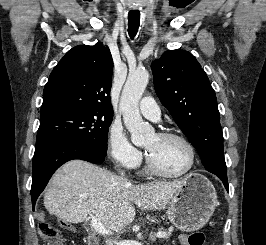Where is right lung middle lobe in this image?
Returning <instances> with one entry per match:
<instances>
[{
  "label": "right lung middle lobe",
  "instance_id": "1",
  "mask_svg": "<svg viewBox=\"0 0 266 245\" xmlns=\"http://www.w3.org/2000/svg\"><path fill=\"white\" fill-rule=\"evenodd\" d=\"M112 119L113 111L97 107L62 111L40 120L36 146L56 139H68L106 155Z\"/></svg>",
  "mask_w": 266,
  "mask_h": 245
}]
</instances>
